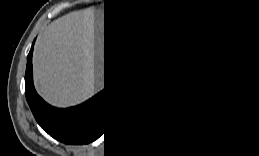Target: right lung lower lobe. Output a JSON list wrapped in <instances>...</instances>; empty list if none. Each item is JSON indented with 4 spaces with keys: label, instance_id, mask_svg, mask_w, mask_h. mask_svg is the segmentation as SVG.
I'll use <instances>...</instances> for the list:
<instances>
[{
    "label": "right lung lower lobe",
    "instance_id": "right-lung-lower-lobe-1",
    "mask_svg": "<svg viewBox=\"0 0 259 156\" xmlns=\"http://www.w3.org/2000/svg\"><path fill=\"white\" fill-rule=\"evenodd\" d=\"M33 46L27 57L25 95L38 124L53 138L71 145L88 144L107 129L114 104L135 83L126 71L112 82L104 79V89L81 105L59 109L47 104L35 91L32 77ZM106 68V63H105Z\"/></svg>",
    "mask_w": 259,
    "mask_h": 156
}]
</instances>
